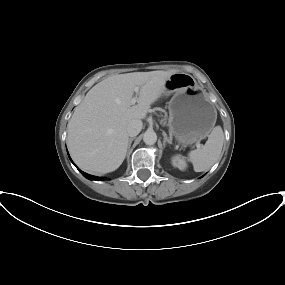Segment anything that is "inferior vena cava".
Masks as SVG:
<instances>
[{
  "label": "inferior vena cava",
  "mask_w": 285,
  "mask_h": 285,
  "mask_svg": "<svg viewBox=\"0 0 285 285\" xmlns=\"http://www.w3.org/2000/svg\"><path fill=\"white\" fill-rule=\"evenodd\" d=\"M142 121L138 119L132 120L128 125H127V133L130 137L137 136L141 129H142Z\"/></svg>",
  "instance_id": "1"
}]
</instances>
